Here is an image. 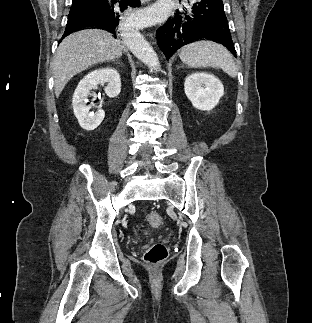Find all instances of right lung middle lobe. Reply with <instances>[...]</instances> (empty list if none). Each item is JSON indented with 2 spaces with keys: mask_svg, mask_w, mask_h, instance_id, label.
I'll return each instance as SVG.
<instances>
[{
  "mask_svg": "<svg viewBox=\"0 0 312 323\" xmlns=\"http://www.w3.org/2000/svg\"><path fill=\"white\" fill-rule=\"evenodd\" d=\"M72 1H73L72 5H76L81 0H72Z\"/></svg>",
  "mask_w": 312,
  "mask_h": 323,
  "instance_id": "right-lung-middle-lobe-1",
  "label": "right lung middle lobe"
}]
</instances>
